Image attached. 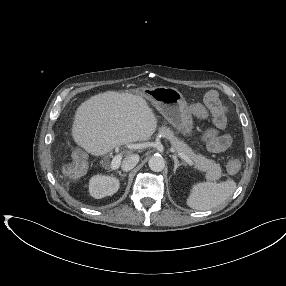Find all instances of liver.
Masks as SVG:
<instances>
[{"instance_id": "6515ba94", "label": "liver", "mask_w": 286, "mask_h": 286, "mask_svg": "<svg viewBox=\"0 0 286 286\" xmlns=\"http://www.w3.org/2000/svg\"><path fill=\"white\" fill-rule=\"evenodd\" d=\"M156 128L155 114L141 95L112 90L90 97L77 108L72 137L88 153L100 156L118 146L148 140Z\"/></svg>"}]
</instances>
